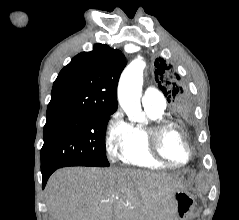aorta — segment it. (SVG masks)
Masks as SVG:
<instances>
[{"label": "aorta", "mask_w": 239, "mask_h": 220, "mask_svg": "<svg viewBox=\"0 0 239 220\" xmlns=\"http://www.w3.org/2000/svg\"><path fill=\"white\" fill-rule=\"evenodd\" d=\"M144 68L141 58L132 61L123 71L118 86L119 103L129 120L134 122L144 119L140 104Z\"/></svg>", "instance_id": "1"}]
</instances>
